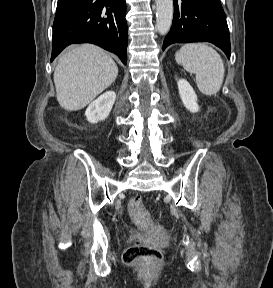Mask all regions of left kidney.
<instances>
[{"label": "left kidney", "instance_id": "left-kidney-1", "mask_svg": "<svg viewBox=\"0 0 273 288\" xmlns=\"http://www.w3.org/2000/svg\"><path fill=\"white\" fill-rule=\"evenodd\" d=\"M180 98L185 108L191 113L199 111L197 104V95L191 85L185 79H180L177 82Z\"/></svg>", "mask_w": 273, "mask_h": 288}]
</instances>
